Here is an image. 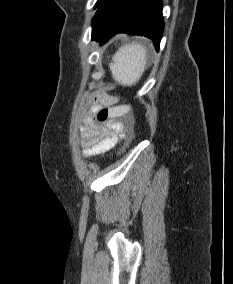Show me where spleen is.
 I'll use <instances>...</instances> for the list:
<instances>
[{
  "instance_id": "3e777b00",
  "label": "spleen",
  "mask_w": 233,
  "mask_h": 284,
  "mask_svg": "<svg viewBox=\"0 0 233 284\" xmlns=\"http://www.w3.org/2000/svg\"><path fill=\"white\" fill-rule=\"evenodd\" d=\"M146 52V48L139 43L120 47L109 64L114 80L123 86L136 84L146 69Z\"/></svg>"
}]
</instances>
